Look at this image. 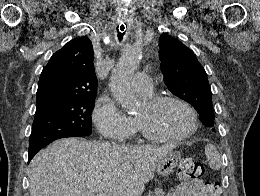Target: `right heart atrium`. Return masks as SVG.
Returning a JSON list of instances; mask_svg holds the SVG:
<instances>
[{
  "instance_id": "right-heart-atrium-1",
  "label": "right heart atrium",
  "mask_w": 260,
  "mask_h": 196,
  "mask_svg": "<svg viewBox=\"0 0 260 196\" xmlns=\"http://www.w3.org/2000/svg\"><path fill=\"white\" fill-rule=\"evenodd\" d=\"M92 116L98 131L105 138H113L118 130H130L135 127L133 118L125 114L108 95L100 97L94 107ZM92 143L111 142L98 140Z\"/></svg>"
}]
</instances>
